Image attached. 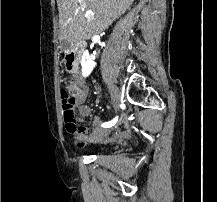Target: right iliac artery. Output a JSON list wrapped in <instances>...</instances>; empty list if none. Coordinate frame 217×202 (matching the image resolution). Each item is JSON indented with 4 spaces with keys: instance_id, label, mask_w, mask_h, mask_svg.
Returning a JSON list of instances; mask_svg holds the SVG:
<instances>
[{
    "instance_id": "1",
    "label": "right iliac artery",
    "mask_w": 217,
    "mask_h": 202,
    "mask_svg": "<svg viewBox=\"0 0 217 202\" xmlns=\"http://www.w3.org/2000/svg\"><path fill=\"white\" fill-rule=\"evenodd\" d=\"M119 118H120V117L117 115L112 121L105 122V123H103L101 126L104 127V128L112 127L113 125L116 124V122H117V120H118Z\"/></svg>"
}]
</instances>
